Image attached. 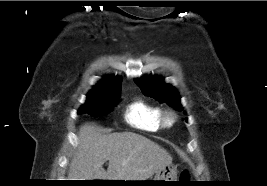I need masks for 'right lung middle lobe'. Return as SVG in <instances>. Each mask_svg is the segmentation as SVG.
<instances>
[{
	"label": "right lung middle lobe",
	"instance_id": "1",
	"mask_svg": "<svg viewBox=\"0 0 267 186\" xmlns=\"http://www.w3.org/2000/svg\"><path fill=\"white\" fill-rule=\"evenodd\" d=\"M120 92L112 93H89L86 103L81 106L78 114H89L93 117L107 115L118 103L117 98Z\"/></svg>",
	"mask_w": 267,
	"mask_h": 186
}]
</instances>
